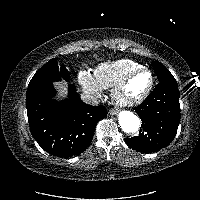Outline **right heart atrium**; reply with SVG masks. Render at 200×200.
Here are the masks:
<instances>
[{
    "mask_svg": "<svg viewBox=\"0 0 200 200\" xmlns=\"http://www.w3.org/2000/svg\"><path fill=\"white\" fill-rule=\"evenodd\" d=\"M77 79L82 90L90 97L98 98L103 94L104 88L97 82L94 74L90 71L81 70Z\"/></svg>",
    "mask_w": 200,
    "mask_h": 200,
    "instance_id": "obj_1",
    "label": "right heart atrium"
}]
</instances>
